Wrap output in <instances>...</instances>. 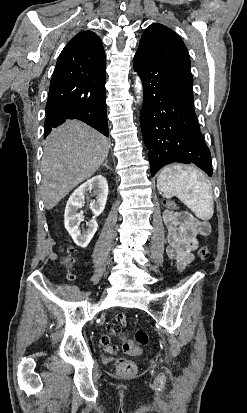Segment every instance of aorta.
I'll return each instance as SVG.
<instances>
[{
    "instance_id": "1",
    "label": "aorta",
    "mask_w": 247,
    "mask_h": 413,
    "mask_svg": "<svg viewBox=\"0 0 247 413\" xmlns=\"http://www.w3.org/2000/svg\"><path fill=\"white\" fill-rule=\"evenodd\" d=\"M135 88H136L137 92H140V90L142 88V84H141L140 78L138 76L136 77Z\"/></svg>"
}]
</instances>
